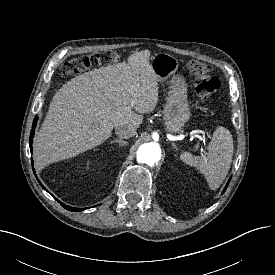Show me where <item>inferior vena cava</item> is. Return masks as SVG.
<instances>
[{"instance_id": "1", "label": "inferior vena cava", "mask_w": 275, "mask_h": 275, "mask_svg": "<svg viewBox=\"0 0 275 275\" xmlns=\"http://www.w3.org/2000/svg\"><path fill=\"white\" fill-rule=\"evenodd\" d=\"M115 133L117 136L124 139L132 138L137 134L136 128L129 125L116 126Z\"/></svg>"}]
</instances>
